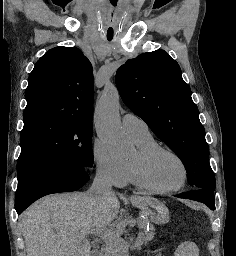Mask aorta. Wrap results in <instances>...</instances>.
Segmentation results:
<instances>
[{
	"instance_id": "aorta-1",
	"label": "aorta",
	"mask_w": 236,
	"mask_h": 256,
	"mask_svg": "<svg viewBox=\"0 0 236 256\" xmlns=\"http://www.w3.org/2000/svg\"><path fill=\"white\" fill-rule=\"evenodd\" d=\"M119 93L112 84L106 85L97 102L94 124L98 137L110 148L123 150L127 146L119 117Z\"/></svg>"
}]
</instances>
